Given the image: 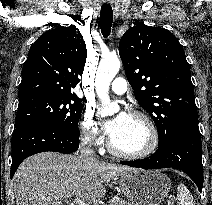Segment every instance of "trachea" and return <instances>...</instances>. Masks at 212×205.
I'll list each match as a JSON object with an SVG mask.
<instances>
[{
	"mask_svg": "<svg viewBox=\"0 0 212 205\" xmlns=\"http://www.w3.org/2000/svg\"><path fill=\"white\" fill-rule=\"evenodd\" d=\"M113 22V11L110 5L104 4L101 7L100 25L101 33L106 38L110 35Z\"/></svg>",
	"mask_w": 212,
	"mask_h": 205,
	"instance_id": "trachea-1",
	"label": "trachea"
}]
</instances>
